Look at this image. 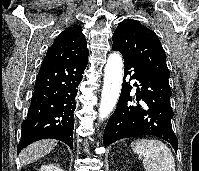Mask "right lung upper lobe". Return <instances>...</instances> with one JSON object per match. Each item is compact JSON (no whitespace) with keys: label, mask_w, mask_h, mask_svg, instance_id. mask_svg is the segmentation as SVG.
Masks as SVG:
<instances>
[{"label":"right lung upper lobe","mask_w":199,"mask_h":171,"mask_svg":"<svg viewBox=\"0 0 199 171\" xmlns=\"http://www.w3.org/2000/svg\"><path fill=\"white\" fill-rule=\"evenodd\" d=\"M85 35L78 25L63 31L48 49L42 63L78 61L88 57Z\"/></svg>","instance_id":"obj_1"}]
</instances>
